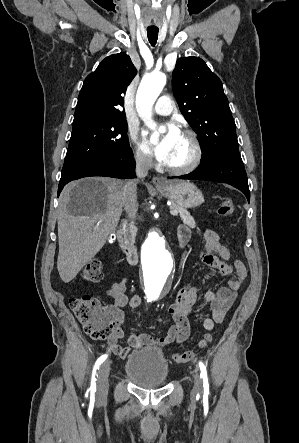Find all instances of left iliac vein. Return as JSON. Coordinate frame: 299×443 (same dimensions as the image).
<instances>
[{
    "mask_svg": "<svg viewBox=\"0 0 299 443\" xmlns=\"http://www.w3.org/2000/svg\"><path fill=\"white\" fill-rule=\"evenodd\" d=\"M200 391H202V381L199 376V373L195 370V372H194V387H193L192 393L196 394Z\"/></svg>",
    "mask_w": 299,
    "mask_h": 443,
    "instance_id": "4c4485c4",
    "label": "left iliac vein"
}]
</instances>
